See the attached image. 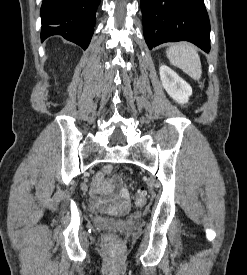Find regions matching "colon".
<instances>
[{
	"mask_svg": "<svg viewBox=\"0 0 247 275\" xmlns=\"http://www.w3.org/2000/svg\"><path fill=\"white\" fill-rule=\"evenodd\" d=\"M104 180H105V175L103 173H99L96 175L94 179V183L99 186L104 182ZM146 198H147V192L144 189L139 190L135 194V202L138 206H143L146 203ZM104 239H105L106 246L111 249H117L120 245L119 240L112 233L106 234Z\"/></svg>",
	"mask_w": 247,
	"mask_h": 275,
	"instance_id": "5ec220e1",
	"label": "colon"
}]
</instances>
